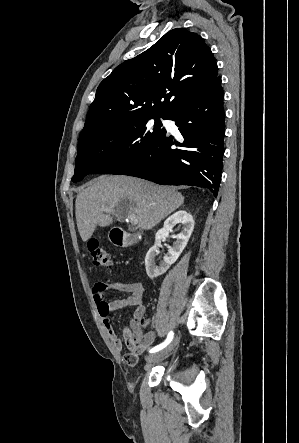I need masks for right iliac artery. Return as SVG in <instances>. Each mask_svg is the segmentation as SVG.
I'll return each instance as SVG.
<instances>
[{"label":"right iliac artery","mask_w":299,"mask_h":443,"mask_svg":"<svg viewBox=\"0 0 299 443\" xmlns=\"http://www.w3.org/2000/svg\"><path fill=\"white\" fill-rule=\"evenodd\" d=\"M173 337H174V332L170 331L168 336H167V338H166V340L163 343H161V344L155 346L154 348H152L149 352L150 353H154V352H157V351L165 348L172 341Z\"/></svg>","instance_id":"obj_1"}]
</instances>
